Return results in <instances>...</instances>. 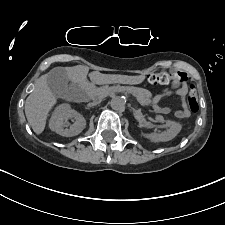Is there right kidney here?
<instances>
[{
    "mask_svg": "<svg viewBox=\"0 0 225 225\" xmlns=\"http://www.w3.org/2000/svg\"><path fill=\"white\" fill-rule=\"evenodd\" d=\"M69 119H73L74 123L69 124ZM85 126V118L77 111L71 109L68 104L59 105L54 110L49 121V127L52 131L66 137L80 134Z\"/></svg>",
    "mask_w": 225,
    "mask_h": 225,
    "instance_id": "1",
    "label": "right kidney"
}]
</instances>
